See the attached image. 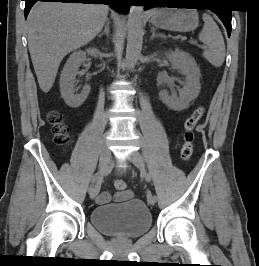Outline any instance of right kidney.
<instances>
[{
  "instance_id": "obj_1",
  "label": "right kidney",
  "mask_w": 259,
  "mask_h": 266,
  "mask_svg": "<svg viewBox=\"0 0 259 266\" xmlns=\"http://www.w3.org/2000/svg\"><path fill=\"white\" fill-rule=\"evenodd\" d=\"M87 54L97 57L99 50L97 48H88L85 51H75L68 58L60 76L61 96L64 99L65 103L72 108L81 106L90 93V86L86 85L83 87V90L80 94H74L75 77L78 73L80 65L86 60Z\"/></svg>"
}]
</instances>
